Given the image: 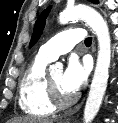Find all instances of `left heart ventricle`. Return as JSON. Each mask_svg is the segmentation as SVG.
<instances>
[{
	"label": "left heart ventricle",
	"instance_id": "b2bd125f",
	"mask_svg": "<svg viewBox=\"0 0 118 123\" xmlns=\"http://www.w3.org/2000/svg\"><path fill=\"white\" fill-rule=\"evenodd\" d=\"M50 77L62 97H68L72 95V93L69 92L63 85V72L62 71L54 72Z\"/></svg>",
	"mask_w": 118,
	"mask_h": 123
}]
</instances>
